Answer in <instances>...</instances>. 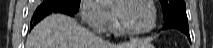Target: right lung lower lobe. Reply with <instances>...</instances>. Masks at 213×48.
Instances as JSON below:
<instances>
[{"mask_svg": "<svg viewBox=\"0 0 213 48\" xmlns=\"http://www.w3.org/2000/svg\"><path fill=\"white\" fill-rule=\"evenodd\" d=\"M53 12H60L68 15H74L76 11H73L69 6L59 0H47L43 2L34 12L32 17V26L30 30L34 27L36 23L45 18L47 15Z\"/></svg>", "mask_w": 213, "mask_h": 48, "instance_id": "98d812e1", "label": "right lung lower lobe"}]
</instances>
